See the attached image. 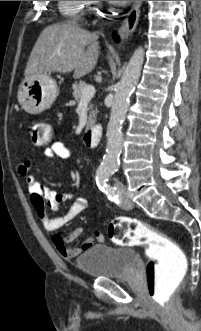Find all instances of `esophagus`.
<instances>
[{
	"label": "esophagus",
	"mask_w": 201,
	"mask_h": 331,
	"mask_svg": "<svg viewBox=\"0 0 201 331\" xmlns=\"http://www.w3.org/2000/svg\"><path fill=\"white\" fill-rule=\"evenodd\" d=\"M142 1H135L127 17L119 28V33L123 38H128L136 29Z\"/></svg>",
	"instance_id": "obj_1"
}]
</instances>
